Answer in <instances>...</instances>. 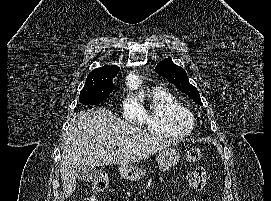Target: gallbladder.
Returning <instances> with one entry per match:
<instances>
[{
    "mask_svg": "<svg viewBox=\"0 0 271 201\" xmlns=\"http://www.w3.org/2000/svg\"><path fill=\"white\" fill-rule=\"evenodd\" d=\"M102 170L87 165H78L76 168V178L81 181L94 182L98 180Z\"/></svg>",
    "mask_w": 271,
    "mask_h": 201,
    "instance_id": "1",
    "label": "gallbladder"
}]
</instances>
